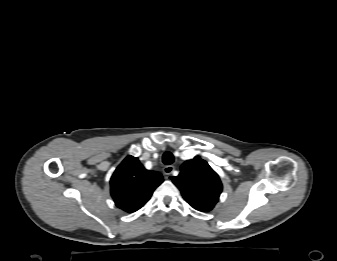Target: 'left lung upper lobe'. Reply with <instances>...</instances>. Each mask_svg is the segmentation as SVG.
Returning <instances> with one entry per match:
<instances>
[{
    "label": "left lung upper lobe",
    "mask_w": 337,
    "mask_h": 261,
    "mask_svg": "<svg viewBox=\"0 0 337 261\" xmlns=\"http://www.w3.org/2000/svg\"><path fill=\"white\" fill-rule=\"evenodd\" d=\"M171 179L180 189L186 202L198 211H211L219 200L222 191L220 178L209 164L198 156L184 162L180 174Z\"/></svg>",
    "instance_id": "obj_1"
}]
</instances>
